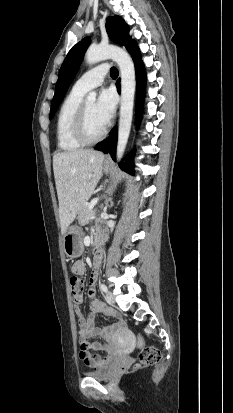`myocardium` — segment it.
<instances>
[{"label": "myocardium", "mask_w": 233, "mask_h": 413, "mask_svg": "<svg viewBox=\"0 0 233 413\" xmlns=\"http://www.w3.org/2000/svg\"><path fill=\"white\" fill-rule=\"evenodd\" d=\"M73 132L75 138L80 143H82L83 145H91L101 141L105 137L107 133V127L105 126L101 133L97 136H91L88 132L87 127L86 103H82L76 115Z\"/></svg>", "instance_id": "obj_1"}]
</instances>
